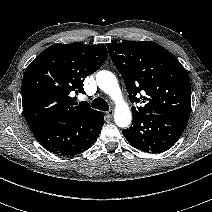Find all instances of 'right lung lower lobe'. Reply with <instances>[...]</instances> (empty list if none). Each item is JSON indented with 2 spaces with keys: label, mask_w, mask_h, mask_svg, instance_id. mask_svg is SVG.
Instances as JSON below:
<instances>
[{
  "label": "right lung lower lobe",
  "mask_w": 212,
  "mask_h": 212,
  "mask_svg": "<svg viewBox=\"0 0 212 212\" xmlns=\"http://www.w3.org/2000/svg\"><path fill=\"white\" fill-rule=\"evenodd\" d=\"M104 116L78 117L65 122H48L32 129L40 144L59 156H74L89 147L98 138Z\"/></svg>",
  "instance_id": "98d812e1"
}]
</instances>
